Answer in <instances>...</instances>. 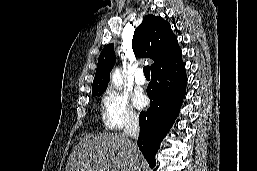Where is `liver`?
Returning a JSON list of instances; mask_svg holds the SVG:
<instances>
[{
	"label": "liver",
	"instance_id": "1",
	"mask_svg": "<svg viewBox=\"0 0 257 171\" xmlns=\"http://www.w3.org/2000/svg\"><path fill=\"white\" fill-rule=\"evenodd\" d=\"M124 134H88L73 149L65 171H132L140 152Z\"/></svg>",
	"mask_w": 257,
	"mask_h": 171
}]
</instances>
